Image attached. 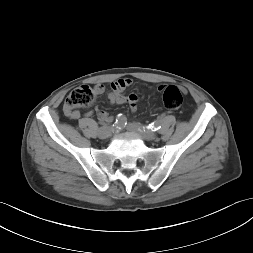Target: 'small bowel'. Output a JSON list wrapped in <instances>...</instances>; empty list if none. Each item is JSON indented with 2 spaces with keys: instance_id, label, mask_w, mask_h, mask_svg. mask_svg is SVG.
Returning a JSON list of instances; mask_svg holds the SVG:
<instances>
[{
  "instance_id": "small-bowel-1",
  "label": "small bowel",
  "mask_w": 253,
  "mask_h": 253,
  "mask_svg": "<svg viewBox=\"0 0 253 253\" xmlns=\"http://www.w3.org/2000/svg\"><path fill=\"white\" fill-rule=\"evenodd\" d=\"M132 84V80L129 78H120L112 83L111 91L108 93V98L111 103L114 104H129L132 110H135L137 107L138 97L135 94L124 95L122 92ZM164 86H159V90H162ZM184 90V89H183ZM94 91L96 94H103L105 87L103 84H97L94 86ZM185 91V90H184ZM65 115L73 120H76L80 117V113L77 110H69L65 107ZM91 113H87L90 115ZM99 118L103 121H109L110 116L106 112H100Z\"/></svg>"
}]
</instances>
